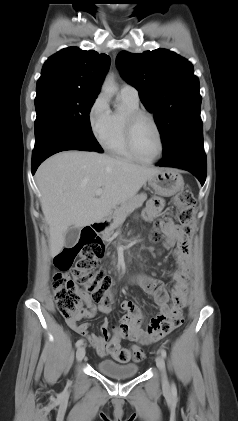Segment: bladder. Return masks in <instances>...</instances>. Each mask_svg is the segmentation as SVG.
I'll list each match as a JSON object with an SVG mask.
<instances>
[{"instance_id":"obj_1","label":"bladder","mask_w":238,"mask_h":421,"mask_svg":"<svg viewBox=\"0 0 238 421\" xmlns=\"http://www.w3.org/2000/svg\"><path fill=\"white\" fill-rule=\"evenodd\" d=\"M96 366L102 374L116 379L134 377L139 371L138 365L134 363L122 364L111 359L100 360Z\"/></svg>"}]
</instances>
